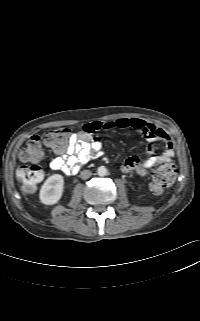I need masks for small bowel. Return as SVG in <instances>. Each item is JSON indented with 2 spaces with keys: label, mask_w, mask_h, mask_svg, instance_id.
Returning <instances> with one entry per match:
<instances>
[{
  "label": "small bowel",
  "mask_w": 200,
  "mask_h": 321,
  "mask_svg": "<svg viewBox=\"0 0 200 321\" xmlns=\"http://www.w3.org/2000/svg\"><path fill=\"white\" fill-rule=\"evenodd\" d=\"M112 129L127 130L131 134L140 133L152 143L159 141L166 146V150L161 156L155 153L154 146H150L146 150L144 160L137 156L128 157L122 165V170L125 173L144 176L148 169L152 168L167 154H173L172 142L165 130L142 119L119 118L84 124L79 132L69 137L63 149L55 150L57 156L50 162V168L66 175L75 174L80 165L87 163L91 159L98 158L102 154V143L93 134L97 131Z\"/></svg>",
  "instance_id": "small-bowel-1"
}]
</instances>
